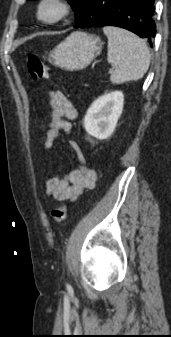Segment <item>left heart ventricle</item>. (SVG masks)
<instances>
[{
	"label": "left heart ventricle",
	"mask_w": 171,
	"mask_h": 337,
	"mask_svg": "<svg viewBox=\"0 0 171 337\" xmlns=\"http://www.w3.org/2000/svg\"><path fill=\"white\" fill-rule=\"evenodd\" d=\"M56 14V9L53 6H48L45 8V10L43 11V15L45 17H52Z\"/></svg>",
	"instance_id": "left-heart-ventricle-1"
}]
</instances>
